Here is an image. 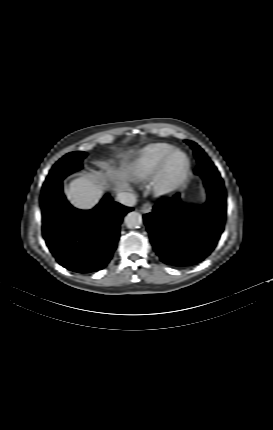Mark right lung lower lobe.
<instances>
[{
    "label": "right lung lower lobe",
    "mask_w": 273,
    "mask_h": 430,
    "mask_svg": "<svg viewBox=\"0 0 273 430\" xmlns=\"http://www.w3.org/2000/svg\"><path fill=\"white\" fill-rule=\"evenodd\" d=\"M43 237L57 262L78 273L101 270L110 262L120 236V224L133 208L105 195L92 210L73 208L62 184L42 192Z\"/></svg>",
    "instance_id": "1"
}]
</instances>
